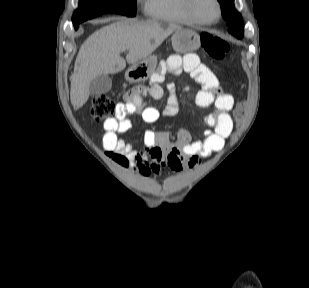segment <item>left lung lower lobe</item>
Wrapping results in <instances>:
<instances>
[{
  "instance_id": "left-lung-lower-lobe-1",
  "label": "left lung lower lobe",
  "mask_w": 309,
  "mask_h": 288,
  "mask_svg": "<svg viewBox=\"0 0 309 288\" xmlns=\"http://www.w3.org/2000/svg\"><path fill=\"white\" fill-rule=\"evenodd\" d=\"M234 36H236V35H234ZM236 37H237V38H240V39L242 38V36H236Z\"/></svg>"
}]
</instances>
